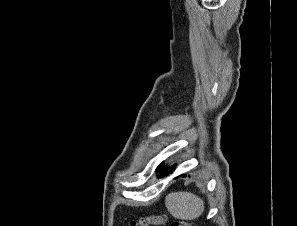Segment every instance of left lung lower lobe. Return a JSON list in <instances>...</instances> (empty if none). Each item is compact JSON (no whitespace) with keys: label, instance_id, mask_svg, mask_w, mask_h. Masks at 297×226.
I'll list each match as a JSON object with an SVG mask.
<instances>
[{"label":"left lung lower lobe","instance_id":"0a47b994","mask_svg":"<svg viewBox=\"0 0 297 226\" xmlns=\"http://www.w3.org/2000/svg\"><path fill=\"white\" fill-rule=\"evenodd\" d=\"M175 167H176V165H173L168 168L163 163H161L157 168V172H158L157 176L160 178L163 176H166L167 174L172 173L174 171Z\"/></svg>","mask_w":297,"mask_h":226}]
</instances>
